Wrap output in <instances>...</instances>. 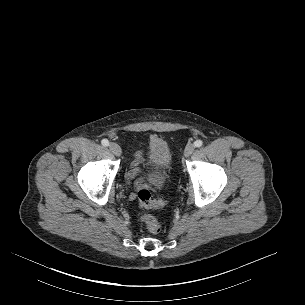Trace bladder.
Returning <instances> with one entry per match:
<instances>
[{
	"instance_id": "1",
	"label": "bladder",
	"mask_w": 305,
	"mask_h": 305,
	"mask_svg": "<svg viewBox=\"0 0 305 305\" xmlns=\"http://www.w3.org/2000/svg\"><path fill=\"white\" fill-rule=\"evenodd\" d=\"M147 163L156 185L162 186L171 176L172 151L168 142L161 137H152L147 142Z\"/></svg>"
}]
</instances>
